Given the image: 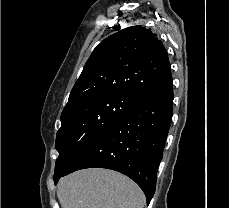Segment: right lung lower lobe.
<instances>
[{"mask_svg": "<svg viewBox=\"0 0 229 208\" xmlns=\"http://www.w3.org/2000/svg\"><path fill=\"white\" fill-rule=\"evenodd\" d=\"M173 82L146 96L108 129L92 139L58 180L84 168H107L133 179L145 193L147 204L156 187L173 111Z\"/></svg>", "mask_w": 229, "mask_h": 208, "instance_id": "98d812e1", "label": "right lung lower lobe"}]
</instances>
